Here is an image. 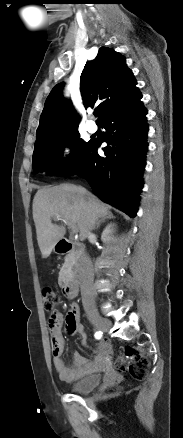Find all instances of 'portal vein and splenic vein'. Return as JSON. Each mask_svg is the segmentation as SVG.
Wrapping results in <instances>:
<instances>
[{"mask_svg": "<svg viewBox=\"0 0 183 438\" xmlns=\"http://www.w3.org/2000/svg\"><path fill=\"white\" fill-rule=\"evenodd\" d=\"M56 219L57 220H62L61 218H60V216H56ZM70 225V224H69ZM71 227H72V231H73V233H75L76 232V228L73 226V225H70Z\"/></svg>", "mask_w": 183, "mask_h": 438, "instance_id": "18ae733b", "label": "portal vein and splenic vein"}]
</instances>
